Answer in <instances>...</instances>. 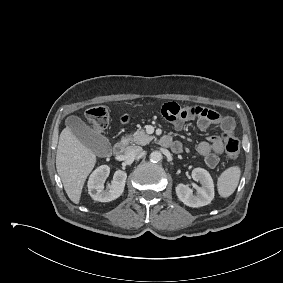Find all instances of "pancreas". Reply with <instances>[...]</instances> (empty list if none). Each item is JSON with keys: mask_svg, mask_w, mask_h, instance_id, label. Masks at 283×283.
I'll use <instances>...</instances> for the list:
<instances>
[{"mask_svg": "<svg viewBox=\"0 0 283 283\" xmlns=\"http://www.w3.org/2000/svg\"><path fill=\"white\" fill-rule=\"evenodd\" d=\"M153 136L148 135L145 130L141 129L140 131L135 132L132 135H129L127 137H123L121 142L123 144H128L129 142L131 143H135L138 145H146L148 144L150 141L153 140Z\"/></svg>", "mask_w": 283, "mask_h": 283, "instance_id": "1", "label": "pancreas"}]
</instances>
